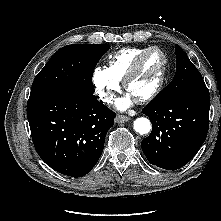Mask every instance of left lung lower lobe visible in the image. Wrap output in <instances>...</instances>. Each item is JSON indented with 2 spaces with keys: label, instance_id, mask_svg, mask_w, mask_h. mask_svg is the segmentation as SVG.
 Returning a JSON list of instances; mask_svg holds the SVG:
<instances>
[{
  "label": "left lung lower lobe",
  "instance_id": "1",
  "mask_svg": "<svg viewBox=\"0 0 221 221\" xmlns=\"http://www.w3.org/2000/svg\"><path fill=\"white\" fill-rule=\"evenodd\" d=\"M210 98L185 95L151 101L142 110L152 123V132L142 141L148 161L176 170L187 164L206 139Z\"/></svg>",
  "mask_w": 221,
  "mask_h": 221
}]
</instances>
